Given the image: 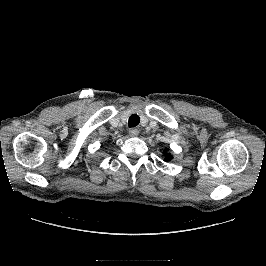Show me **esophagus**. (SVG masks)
Returning <instances> with one entry per match:
<instances>
[{"label":"esophagus","instance_id":"obj_1","mask_svg":"<svg viewBox=\"0 0 266 266\" xmlns=\"http://www.w3.org/2000/svg\"><path fill=\"white\" fill-rule=\"evenodd\" d=\"M129 135H130L131 137H137V136L139 135V131H138V129H135V128L130 129V130H129Z\"/></svg>","mask_w":266,"mask_h":266}]
</instances>
